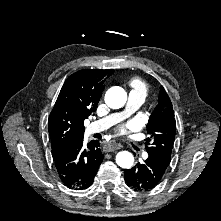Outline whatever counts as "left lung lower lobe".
I'll use <instances>...</instances> for the list:
<instances>
[{"instance_id": "obj_1", "label": "left lung lower lobe", "mask_w": 221, "mask_h": 221, "mask_svg": "<svg viewBox=\"0 0 221 221\" xmlns=\"http://www.w3.org/2000/svg\"><path fill=\"white\" fill-rule=\"evenodd\" d=\"M144 163L125 170V181L135 191H149L164 178L170 160L156 153H148Z\"/></svg>"}]
</instances>
